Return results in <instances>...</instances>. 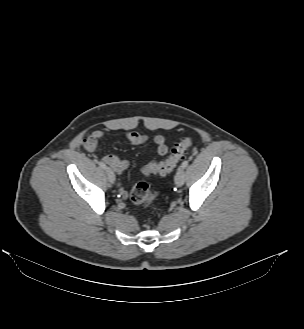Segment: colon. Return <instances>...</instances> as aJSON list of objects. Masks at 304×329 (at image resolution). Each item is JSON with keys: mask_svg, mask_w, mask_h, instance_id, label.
<instances>
[{"mask_svg": "<svg viewBox=\"0 0 304 329\" xmlns=\"http://www.w3.org/2000/svg\"><path fill=\"white\" fill-rule=\"evenodd\" d=\"M192 144L193 139L191 137H183L173 146L170 156L164 162L151 161L141 167L140 173L144 176H164L171 173L185 157ZM157 196L158 190L151 188L149 184L142 181L134 184L130 193L132 202L143 207L151 206Z\"/></svg>", "mask_w": 304, "mask_h": 329, "instance_id": "colon-1", "label": "colon"}]
</instances>
